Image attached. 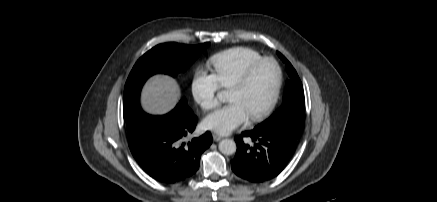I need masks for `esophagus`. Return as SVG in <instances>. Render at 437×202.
Returning a JSON list of instances; mask_svg holds the SVG:
<instances>
[{"label":"esophagus","instance_id":"34e87169","mask_svg":"<svg viewBox=\"0 0 437 202\" xmlns=\"http://www.w3.org/2000/svg\"><path fill=\"white\" fill-rule=\"evenodd\" d=\"M223 137L222 136H220V135H218V134H213V140L214 141H220L221 139H222Z\"/></svg>","mask_w":437,"mask_h":202}]
</instances>
